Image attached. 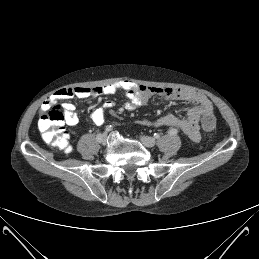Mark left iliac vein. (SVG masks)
<instances>
[{
    "instance_id": "obj_1",
    "label": "left iliac vein",
    "mask_w": 259,
    "mask_h": 259,
    "mask_svg": "<svg viewBox=\"0 0 259 259\" xmlns=\"http://www.w3.org/2000/svg\"><path fill=\"white\" fill-rule=\"evenodd\" d=\"M140 140L148 148H152L156 145L155 139L149 136H141Z\"/></svg>"
}]
</instances>
